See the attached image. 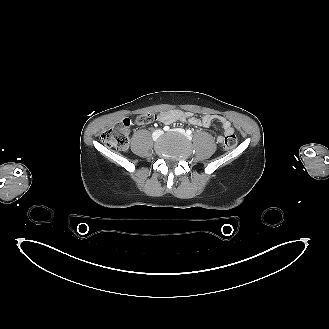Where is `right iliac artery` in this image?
Segmentation results:
<instances>
[{
	"label": "right iliac artery",
	"mask_w": 329,
	"mask_h": 329,
	"mask_svg": "<svg viewBox=\"0 0 329 329\" xmlns=\"http://www.w3.org/2000/svg\"><path fill=\"white\" fill-rule=\"evenodd\" d=\"M163 129H164L165 131H168V130H169V127H168V126H165Z\"/></svg>",
	"instance_id": "right-iliac-artery-1"
}]
</instances>
